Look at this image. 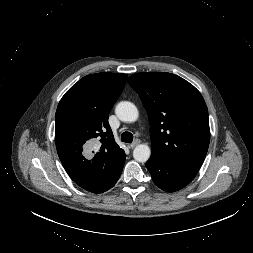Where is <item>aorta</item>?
<instances>
[{
    "mask_svg": "<svg viewBox=\"0 0 253 253\" xmlns=\"http://www.w3.org/2000/svg\"><path fill=\"white\" fill-rule=\"evenodd\" d=\"M117 117L123 122H135L139 113L137 107L128 101H122L115 108ZM151 149L147 144H139L134 148L133 157L136 161L144 163L149 160Z\"/></svg>",
    "mask_w": 253,
    "mask_h": 253,
    "instance_id": "1",
    "label": "aorta"
}]
</instances>
